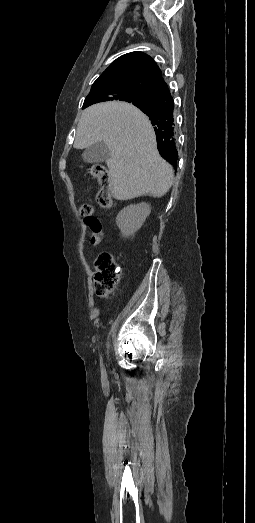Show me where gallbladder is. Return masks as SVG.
<instances>
[{
	"label": "gallbladder",
	"mask_w": 255,
	"mask_h": 523,
	"mask_svg": "<svg viewBox=\"0 0 255 523\" xmlns=\"http://www.w3.org/2000/svg\"><path fill=\"white\" fill-rule=\"evenodd\" d=\"M82 158L88 164H100L111 158L110 150L105 142H96L84 150Z\"/></svg>",
	"instance_id": "bac80fb5"
}]
</instances>
